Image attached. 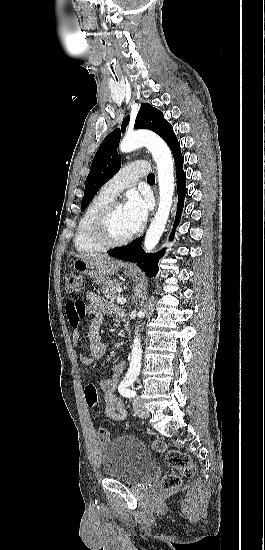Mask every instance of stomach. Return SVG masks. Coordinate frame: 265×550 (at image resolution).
<instances>
[{
  "instance_id": "obj_1",
  "label": "stomach",
  "mask_w": 265,
  "mask_h": 550,
  "mask_svg": "<svg viewBox=\"0 0 265 550\" xmlns=\"http://www.w3.org/2000/svg\"><path fill=\"white\" fill-rule=\"evenodd\" d=\"M72 267L76 272L89 275L93 277L98 283H103L106 280L105 275L100 273L96 268H94L91 264L88 262L82 260V259H76L72 263ZM125 274L129 277L135 276L136 272L134 270H125Z\"/></svg>"
}]
</instances>
